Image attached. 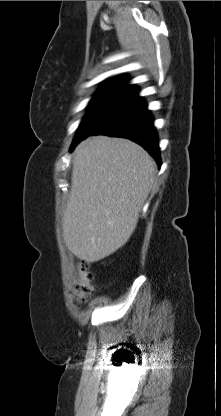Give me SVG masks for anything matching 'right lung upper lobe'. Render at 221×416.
I'll use <instances>...</instances> for the list:
<instances>
[{
    "label": "right lung upper lobe",
    "instance_id": "cb5924a9",
    "mask_svg": "<svg viewBox=\"0 0 221 416\" xmlns=\"http://www.w3.org/2000/svg\"><path fill=\"white\" fill-rule=\"evenodd\" d=\"M128 79L122 75L108 78L96 95L123 96L125 98L136 95L139 90L133 85H126Z\"/></svg>",
    "mask_w": 221,
    "mask_h": 416
}]
</instances>
